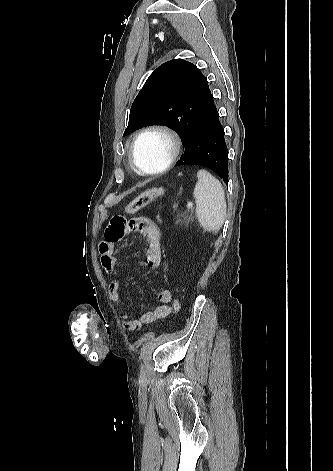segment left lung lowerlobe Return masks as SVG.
Wrapping results in <instances>:
<instances>
[{"label":"left lung lower lobe","mask_w":333,"mask_h":471,"mask_svg":"<svg viewBox=\"0 0 333 471\" xmlns=\"http://www.w3.org/2000/svg\"><path fill=\"white\" fill-rule=\"evenodd\" d=\"M196 164L215 171L228 182V151L219 113L211 99L196 122L178 165Z\"/></svg>","instance_id":"0a47b994"}]
</instances>
